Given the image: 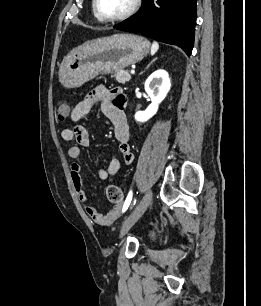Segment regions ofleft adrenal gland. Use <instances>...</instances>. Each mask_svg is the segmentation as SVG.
Masks as SVG:
<instances>
[{"label": "left adrenal gland", "instance_id": "a2214340", "mask_svg": "<svg viewBox=\"0 0 261 306\" xmlns=\"http://www.w3.org/2000/svg\"><path fill=\"white\" fill-rule=\"evenodd\" d=\"M155 61V59L147 66V68Z\"/></svg>", "mask_w": 261, "mask_h": 306}]
</instances>
